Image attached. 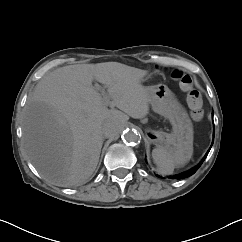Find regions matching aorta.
<instances>
[{"mask_svg":"<svg viewBox=\"0 0 242 242\" xmlns=\"http://www.w3.org/2000/svg\"><path fill=\"white\" fill-rule=\"evenodd\" d=\"M124 142L135 144L140 140V134L133 129L125 130L122 135Z\"/></svg>","mask_w":242,"mask_h":242,"instance_id":"1","label":"aorta"}]
</instances>
